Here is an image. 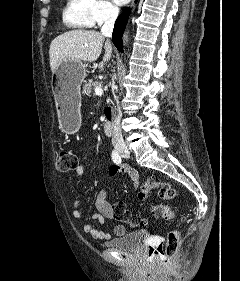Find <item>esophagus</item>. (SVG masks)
Instances as JSON below:
<instances>
[{"instance_id":"esophagus-1","label":"esophagus","mask_w":240,"mask_h":281,"mask_svg":"<svg viewBox=\"0 0 240 281\" xmlns=\"http://www.w3.org/2000/svg\"><path fill=\"white\" fill-rule=\"evenodd\" d=\"M134 5H135V0H131V3H130V5H129V7H130V8H133Z\"/></svg>"}]
</instances>
